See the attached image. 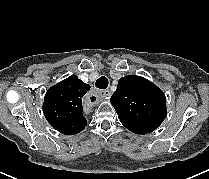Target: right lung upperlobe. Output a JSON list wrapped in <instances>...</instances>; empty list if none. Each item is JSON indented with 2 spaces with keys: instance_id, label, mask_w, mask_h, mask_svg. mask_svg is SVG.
<instances>
[{
  "instance_id": "1",
  "label": "right lung upper lobe",
  "mask_w": 209,
  "mask_h": 179,
  "mask_svg": "<svg viewBox=\"0 0 209 179\" xmlns=\"http://www.w3.org/2000/svg\"><path fill=\"white\" fill-rule=\"evenodd\" d=\"M88 84L71 75L51 87L45 94L43 113L49 124L66 135H75L87 125L83 115ZM91 101L95 100L92 96Z\"/></svg>"
}]
</instances>
